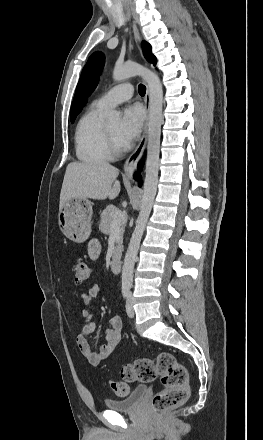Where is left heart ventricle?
Segmentation results:
<instances>
[{"label":"left heart ventricle","instance_id":"obj_1","mask_svg":"<svg viewBox=\"0 0 263 440\" xmlns=\"http://www.w3.org/2000/svg\"><path fill=\"white\" fill-rule=\"evenodd\" d=\"M107 126H108L112 136L114 137L115 141L117 142V144L122 146L117 138V130H118L119 122L114 121V122L108 123Z\"/></svg>","mask_w":263,"mask_h":440}]
</instances>
